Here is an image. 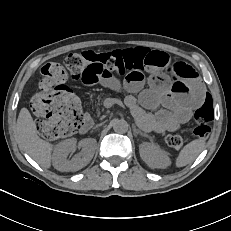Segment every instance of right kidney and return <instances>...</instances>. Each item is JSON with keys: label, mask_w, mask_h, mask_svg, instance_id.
<instances>
[{"label": "right kidney", "mask_w": 231, "mask_h": 231, "mask_svg": "<svg viewBox=\"0 0 231 231\" xmlns=\"http://www.w3.org/2000/svg\"><path fill=\"white\" fill-rule=\"evenodd\" d=\"M96 140L85 138L78 142L82 147L81 152L69 160L68 154L76 149L77 141L75 138L67 139L56 145L53 153V166L59 171H77L85 167L93 158Z\"/></svg>", "instance_id": "ca27d5eb"}]
</instances>
